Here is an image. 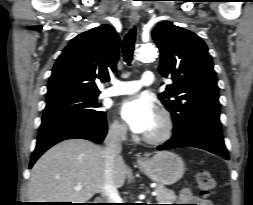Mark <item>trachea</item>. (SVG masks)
<instances>
[{"label": "trachea", "mask_w": 253, "mask_h": 205, "mask_svg": "<svg viewBox=\"0 0 253 205\" xmlns=\"http://www.w3.org/2000/svg\"><path fill=\"white\" fill-rule=\"evenodd\" d=\"M136 40V28H132L125 36L122 44L123 58L127 64L133 59L134 44Z\"/></svg>", "instance_id": "trachea-1"}]
</instances>
